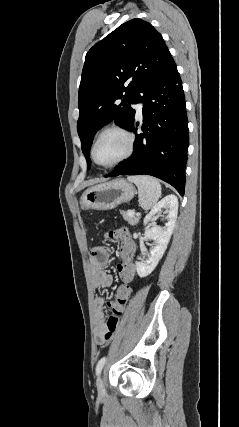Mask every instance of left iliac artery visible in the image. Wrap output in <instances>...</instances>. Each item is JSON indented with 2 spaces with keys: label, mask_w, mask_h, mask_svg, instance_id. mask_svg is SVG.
Masks as SVG:
<instances>
[{
  "label": "left iliac artery",
  "mask_w": 239,
  "mask_h": 427,
  "mask_svg": "<svg viewBox=\"0 0 239 427\" xmlns=\"http://www.w3.org/2000/svg\"><path fill=\"white\" fill-rule=\"evenodd\" d=\"M105 362H106V357H102V358L98 361V363H97V365H96V374H97V375H99V374L101 373L102 368H103V366H104Z\"/></svg>",
  "instance_id": "left-iliac-artery-1"
}]
</instances>
